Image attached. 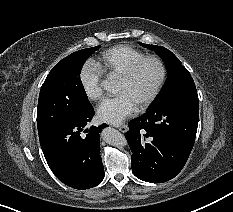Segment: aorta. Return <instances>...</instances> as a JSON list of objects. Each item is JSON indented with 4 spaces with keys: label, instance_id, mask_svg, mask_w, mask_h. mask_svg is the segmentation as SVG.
Wrapping results in <instances>:
<instances>
[{
    "label": "aorta",
    "instance_id": "aorta-1",
    "mask_svg": "<svg viewBox=\"0 0 233 212\" xmlns=\"http://www.w3.org/2000/svg\"><path fill=\"white\" fill-rule=\"evenodd\" d=\"M104 90L114 93L116 91V81L114 79H106L101 83ZM103 140L113 146L123 147L127 144L125 137L116 129L107 127L102 131Z\"/></svg>",
    "mask_w": 233,
    "mask_h": 212
}]
</instances>
